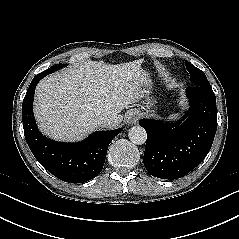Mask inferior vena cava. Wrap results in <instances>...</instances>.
Segmentation results:
<instances>
[{"label":"inferior vena cava","instance_id":"inferior-vena-cava-1","mask_svg":"<svg viewBox=\"0 0 239 239\" xmlns=\"http://www.w3.org/2000/svg\"><path fill=\"white\" fill-rule=\"evenodd\" d=\"M111 122H112V119H111L110 117H108V116H103V115H101V116H99V117L97 118V123H98V125H99V126H102V127H105V126L110 125Z\"/></svg>","mask_w":239,"mask_h":239}]
</instances>
